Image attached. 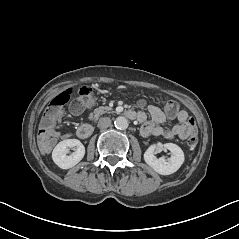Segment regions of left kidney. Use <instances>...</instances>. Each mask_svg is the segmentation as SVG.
Wrapping results in <instances>:
<instances>
[{
    "label": "left kidney",
    "instance_id": "5707ae66",
    "mask_svg": "<svg viewBox=\"0 0 239 239\" xmlns=\"http://www.w3.org/2000/svg\"><path fill=\"white\" fill-rule=\"evenodd\" d=\"M156 147L160 149L166 148L171 152V157L167 160L164 157L157 158L154 155ZM145 162L161 175H170L176 172L184 162V152L174 143H166L164 145H151L144 153Z\"/></svg>",
    "mask_w": 239,
    "mask_h": 239
}]
</instances>
